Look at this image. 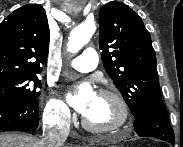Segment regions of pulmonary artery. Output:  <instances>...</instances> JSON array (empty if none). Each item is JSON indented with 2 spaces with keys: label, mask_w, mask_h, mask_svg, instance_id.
Masks as SVG:
<instances>
[{
  "label": "pulmonary artery",
  "mask_w": 183,
  "mask_h": 147,
  "mask_svg": "<svg viewBox=\"0 0 183 147\" xmlns=\"http://www.w3.org/2000/svg\"><path fill=\"white\" fill-rule=\"evenodd\" d=\"M98 65V54L93 48H86L82 54L69 62V66L75 70L87 73Z\"/></svg>",
  "instance_id": "e3ab8cb5"
}]
</instances>
